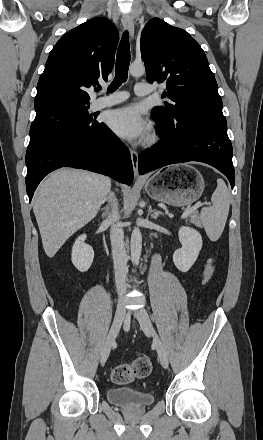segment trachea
<instances>
[{
  "mask_svg": "<svg viewBox=\"0 0 263 440\" xmlns=\"http://www.w3.org/2000/svg\"><path fill=\"white\" fill-rule=\"evenodd\" d=\"M130 64V46H129V33L125 31L122 35V39L118 48L116 58L115 78L111 85L108 87V92L115 91L123 82L127 80L128 68ZM101 87L96 91H100Z\"/></svg>",
  "mask_w": 263,
  "mask_h": 440,
  "instance_id": "3493384b",
  "label": "trachea"
}]
</instances>
